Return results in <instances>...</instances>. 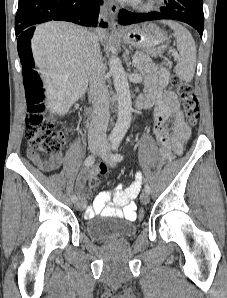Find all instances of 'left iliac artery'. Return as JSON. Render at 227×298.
I'll use <instances>...</instances> for the list:
<instances>
[{
    "label": "left iliac artery",
    "instance_id": "left-iliac-artery-1",
    "mask_svg": "<svg viewBox=\"0 0 227 298\" xmlns=\"http://www.w3.org/2000/svg\"><path fill=\"white\" fill-rule=\"evenodd\" d=\"M120 142H121V138H119V137H116V138H113L112 139V150L114 152L112 154V159L114 161H121V160H123V156L120 153H118V147L120 145ZM144 190L146 192H150V186L148 184H145Z\"/></svg>",
    "mask_w": 227,
    "mask_h": 298
}]
</instances>
